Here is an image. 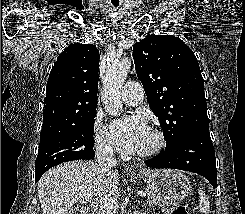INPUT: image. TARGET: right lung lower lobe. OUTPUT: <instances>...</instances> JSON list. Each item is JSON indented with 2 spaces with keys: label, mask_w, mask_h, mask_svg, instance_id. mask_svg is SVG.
I'll use <instances>...</instances> for the list:
<instances>
[{
  "label": "right lung lower lobe",
  "mask_w": 245,
  "mask_h": 214,
  "mask_svg": "<svg viewBox=\"0 0 245 214\" xmlns=\"http://www.w3.org/2000/svg\"><path fill=\"white\" fill-rule=\"evenodd\" d=\"M94 156H95V152L93 153V158H94ZM93 158H92V159H93ZM43 173H44V172H43ZM43 173H35V176H36V180H35V181H36V182L39 181V179H40V177L43 175Z\"/></svg>",
  "instance_id": "obj_1"
}]
</instances>
